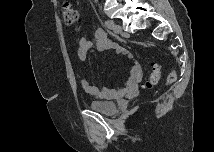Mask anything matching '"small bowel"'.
Returning <instances> with one entry per match:
<instances>
[{
  "instance_id": "1",
  "label": "small bowel",
  "mask_w": 215,
  "mask_h": 152,
  "mask_svg": "<svg viewBox=\"0 0 215 152\" xmlns=\"http://www.w3.org/2000/svg\"><path fill=\"white\" fill-rule=\"evenodd\" d=\"M92 47H95L98 51L114 50L116 53L124 55L132 60V64L129 75L121 87L117 89H111L108 87L98 89L92 86L88 79L82 78L80 80V85L83 91L93 97L108 100L123 96L132 97L136 95L139 83L142 79V72L138 62L134 60L133 54L127 48L110 40L106 31L101 28L95 30L94 41H89L86 38H82L80 40L77 50L78 59L82 61L85 60L87 58L88 51Z\"/></svg>"
}]
</instances>
